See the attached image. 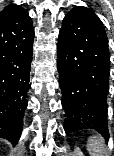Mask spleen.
I'll return each instance as SVG.
<instances>
[{"mask_svg": "<svg viewBox=\"0 0 114 156\" xmlns=\"http://www.w3.org/2000/svg\"><path fill=\"white\" fill-rule=\"evenodd\" d=\"M87 150L90 156H108L105 152L104 139L100 135L89 137Z\"/></svg>", "mask_w": 114, "mask_h": 156, "instance_id": "3e777b00", "label": "spleen"}]
</instances>
